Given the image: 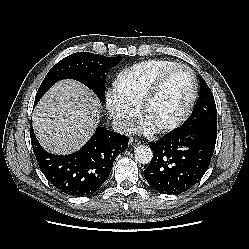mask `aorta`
<instances>
[{"mask_svg":"<svg viewBox=\"0 0 249 249\" xmlns=\"http://www.w3.org/2000/svg\"><path fill=\"white\" fill-rule=\"evenodd\" d=\"M134 156L140 164H148L153 158V152L149 146L139 145L135 148Z\"/></svg>","mask_w":249,"mask_h":249,"instance_id":"1","label":"aorta"}]
</instances>
